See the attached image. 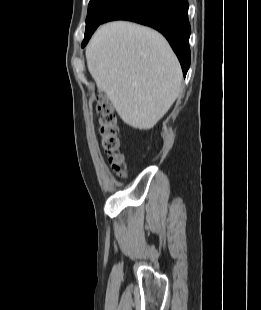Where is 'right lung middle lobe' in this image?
I'll use <instances>...</instances> for the list:
<instances>
[{
  "instance_id": "dd1d6c3e",
  "label": "right lung middle lobe",
  "mask_w": 261,
  "mask_h": 310,
  "mask_svg": "<svg viewBox=\"0 0 261 310\" xmlns=\"http://www.w3.org/2000/svg\"><path fill=\"white\" fill-rule=\"evenodd\" d=\"M126 0H90L86 18V33L95 30L107 17Z\"/></svg>"
}]
</instances>
